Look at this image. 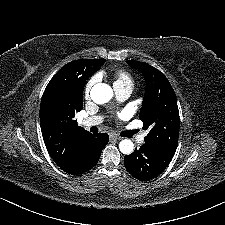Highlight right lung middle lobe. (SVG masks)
<instances>
[{"instance_id":"obj_1","label":"right lung middle lobe","mask_w":225,"mask_h":225,"mask_svg":"<svg viewBox=\"0 0 225 225\" xmlns=\"http://www.w3.org/2000/svg\"><path fill=\"white\" fill-rule=\"evenodd\" d=\"M106 60H102L100 63V67L105 63ZM80 85H84V82L82 80H75L73 82L74 87H80Z\"/></svg>"}]
</instances>
